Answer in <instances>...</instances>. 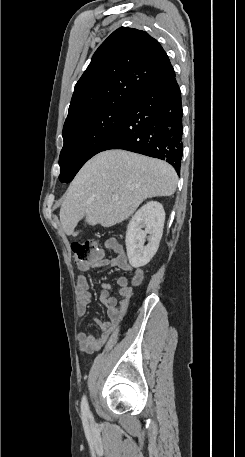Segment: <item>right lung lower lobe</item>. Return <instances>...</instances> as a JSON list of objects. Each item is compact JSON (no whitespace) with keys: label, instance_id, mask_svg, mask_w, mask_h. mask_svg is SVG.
Wrapping results in <instances>:
<instances>
[{"label":"right lung lower lobe","instance_id":"right-lung-lower-lobe-1","mask_svg":"<svg viewBox=\"0 0 245 457\" xmlns=\"http://www.w3.org/2000/svg\"><path fill=\"white\" fill-rule=\"evenodd\" d=\"M182 116L181 93L174 74L149 85L132 101L101 151L124 149L166 160L180 175Z\"/></svg>","mask_w":245,"mask_h":457}]
</instances>
